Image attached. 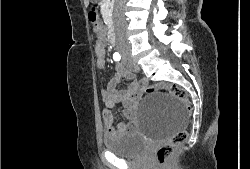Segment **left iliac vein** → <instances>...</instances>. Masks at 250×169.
Returning a JSON list of instances; mask_svg holds the SVG:
<instances>
[{"instance_id":"1","label":"left iliac vein","mask_w":250,"mask_h":169,"mask_svg":"<svg viewBox=\"0 0 250 169\" xmlns=\"http://www.w3.org/2000/svg\"><path fill=\"white\" fill-rule=\"evenodd\" d=\"M128 69L130 72H138L139 66L137 65L136 62L131 61L128 63Z\"/></svg>"}]
</instances>
